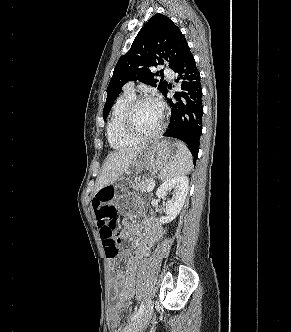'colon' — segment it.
<instances>
[{"instance_id":"obj_1","label":"colon","mask_w":291,"mask_h":332,"mask_svg":"<svg viewBox=\"0 0 291 332\" xmlns=\"http://www.w3.org/2000/svg\"><path fill=\"white\" fill-rule=\"evenodd\" d=\"M96 218L100 229L102 244L105 254L109 259L118 256L117 239V211L113 203V192L100 191L94 198ZM120 317L116 309L110 312V327L116 332L119 327Z\"/></svg>"}]
</instances>
